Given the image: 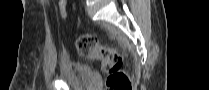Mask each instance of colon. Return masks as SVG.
Instances as JSON below:
<instances>
[{"label":"colon","mask_w":209,"mask_h":90,"mask_svg":"<svg viewBox=\"0 0 209 90\" xmlns=\"http://www.w3.org/2000/svg\"><path fill=\"white\" fill-rule=\"evenodd\" d=\"M58 11L62 18L67 15V1H58ZM77 52L81 57L97 59L107 74L109 90H132L131 82L123 71V57L116 50L102 45L94 34H82L76 39Z\"/></svg>","instance_id":"colon-1"}]
</instances>
